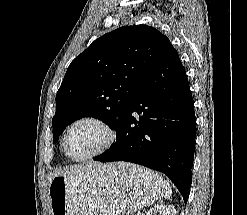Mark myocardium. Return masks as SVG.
<instances>
[{"label": "myocardium", "instance_id": "f54148a6", "mask_svg": "<svg viewBox=\"0 0 247 215\" xmlns=\"http://www.w3.org/2000/svg\"><path fill=\"white\" fill-rule=\"evenodd\" d=\"M84 122H90V123H93V124L99 126L104 131L106 138H105L104 143L101 145V147H99L96 151L92 152L91 154H88V155L83 156V157H74L68 151L67 138H68L70 131L76 125H78L80 123H84ZM115 139H116V133H115L114 129L112 128V126L107 121H105L104 119H102L98 116L85 115V116H81V117L77 118L68 126V128L66 129V131L63 135L62 145H63L64 152L68 158H70L73 161H86V160H90V159L99 157V156L103 155L104 153H106L113 146Z\"/></svg>", "mask_w": 247, "mask_h": 215}]
</instances>
